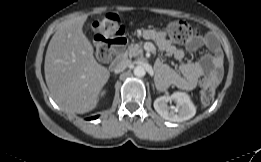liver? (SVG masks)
<instances>
[{"label":"liver","instance_id":"liver-1","mask_svg":"<svg viewBox=\"0 0 261 162\" xmlns=\"http://www.w3.org/2000/svg\"><path fill=\"white\" fill-rule=\"evenodd\" d=\"M87 15L64 21L52 36L45 56L46 84L55 102L78 114L93 110L109 79L94 49L82 31Z\"/></svg>","mask_w":261,"mask_h":162}]
</instances>
